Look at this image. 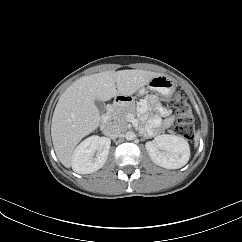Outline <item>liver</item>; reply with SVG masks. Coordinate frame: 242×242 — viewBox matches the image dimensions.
Here are the masks:
<instances>
[{"label":"liver","mask_w":242,"mask_h":242,"mask_svg":"<svg viewBox=\"0 0 242 242\" xmlns=\"http://www.w3.org/2000/svg\"><path fill=\"white\" fill-rule=\"evenodd\" d=\"M160 74L144 70L105 71L76 80L61 95L53 113L51 135L59 161L69 168L76 145L100 125L95 100L130 96Z\"/></svg>","instance_id":"liver-1"}]
</instances>
